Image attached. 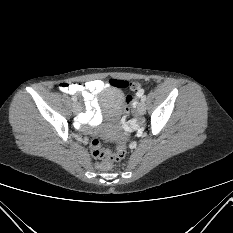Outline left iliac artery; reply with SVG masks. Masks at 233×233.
<instances>
[{
    "mask_svg": "<svg viewBox=\"0 0 233 233\" xmlns=\"http://www.w3.org/2000/svg\"><path fill=\"white\" fill-rule=\"evenodd\" d=\"M146 100V95H143L142 97H141V101H145Z\"/></svg>",
    "mask_w": 233,
    "mask_h": 233,
    "instance_id": "1",
    "label": "left iliac artery"
}]
</instances>
